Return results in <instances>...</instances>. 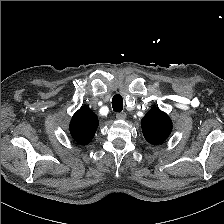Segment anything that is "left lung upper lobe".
Returning <instances> with one entry per match:
<instances>
[{
	"label": "left lung upper lobe",
	"instance_id": "left-lung-upper-lobe-1",
	"mask_svg": "<svg viewBox=\"0 0 224 224\" xmlns=\"http://www.w3.org/2000/svg\"><path fill=\"white\" fill-rule=\"evenodd\" d=\"M141 127L145 139L153 145H158L169 137L172 121L165 112L158 107H153L143 117Z\"/></svg>",
	"mask_w": 224,
	"mask_h": 224
}]
</instances>
